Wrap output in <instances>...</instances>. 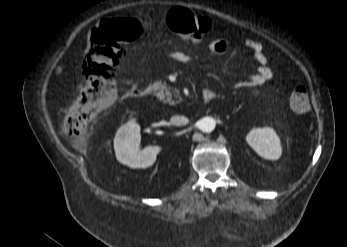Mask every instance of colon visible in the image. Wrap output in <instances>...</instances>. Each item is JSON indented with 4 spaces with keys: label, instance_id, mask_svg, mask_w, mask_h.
Segmentation results:
<instances>
[{
    "label": "colon",
    "instance_id": "1",
    "mask_svg": "<svg viewBox=\"0 0 347 247\" xmlns=\"http://www.w3.org/2000/svg\"><path fill=\"white\" fill-rule=\"evenodd\" d=\"M169 28L188 41H198L213 24L204 15L188 9L175 8L167 16ZM148 28L147 22L133 17L117 16L102 20L93 29L83 64L85 83L80 98L69 108L64 118V130L76 135L101 110L110 106L116 95V72L124 55V44L135 40ZM289 103L293 110L306 112L309 95L304 86L291 91Z\"/></svg>",
    "mask_w": 347,
    "mask_h": 247
}]
</instances>
